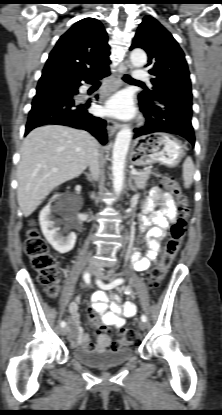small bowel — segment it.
Here are the masks:
<instances>
[{
	"instance_id": "small-bowel-1",
	"label": "small bowel",
	"mask_w": 222,
	"mask_h": 415,
	"mask_svg": "<svg viewBox=\"0 0 222 415\" xmlns=\"http://www.w3.org/2000/svg\"><path fill=\"white\" fill-rule=\"evenodd\" d=\"M159 206V209H155ZM178 210L170 193L159 187L151 189L144 203L141 214L142 229L146 232V245L148 251L141 257L139 252L133 255L134 267L138 271H146L156 259L160 250V240L165 236L169 224L177 218ZM123 293L131 297L133 291L129 287L122 288ZM92 305L98 311L101 322L107 326L121 328L127 318L136 315L137 307L131 301L123 302L115 294L108 295L105 290L96 291L92 296ZM69 323L72 326L70 335L72 344L87 351H105L111 342L105 333H99L96 343H91L89 335L85 333L80 324L78 300L68 305Z\"/></svg>"
}]
</instances>
